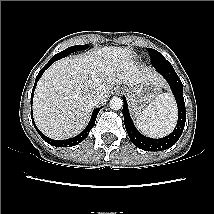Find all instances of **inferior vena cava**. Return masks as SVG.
<instances>
[{
  "mask_svg": "<svg viewBox=\"0 0 214 214\" xmlns=\"http://www.w3.org/2000/svg\"><path fill=\"white\" fill-rule=\"evenodd\" d=\"M107 97L108 94L102 90H94L87 95L88 100L95 105L105 102Z\"/></svg>",
  "mask_w": 214,
  "mask_h": 214,
  "instance_id": "obj_1",
  "label": "inferior vena cava"
}]
</instances>
